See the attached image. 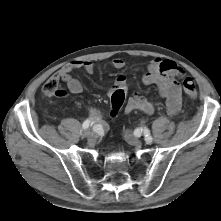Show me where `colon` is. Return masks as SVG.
Here are the masks:
<instances>
[{
	"label": "colon",
	"instance_id": "obj_1",
	"mask_svg": "<svg viewBox=\"0 0 221 221\" xmlns=\"http://www.w3.org/2000/svg\"><path fill=\"white\" fill-rule=\"evenodd\" d=\"M183 89L185 93L192 99L197 96V90L195 83L192 78L187 76H182ZM42 93L45 96L51 97H62L66 95V92L59 87V80L52 76L46 80L42 86ZM126 98V90L123 88H116L110 95V115L115 117L119 110L121 109Z\"/></svg>",
	"mask_w": 221,
	"mask_h": 221
}]
</instances>
